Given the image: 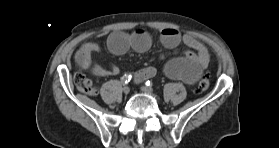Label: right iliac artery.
I'll return each instance as SVG.
<instances>
[{"mask_svg": "<svg viewBox=\"0 0 279 148\" xmlns=\"http://www.w3.org/2000/svg\"><path fill=\"white\" fill-rule=\"evenodd\" d=\"M132 76L131 74H125L123 77H122V83L125 85L127 84L130 80H131Z\"/></svg>", "mask_w": 279, "mask_h": 148, "instance_id": "right-iliac-artery-1", "label": "right iliac artery"}]
</instances>
